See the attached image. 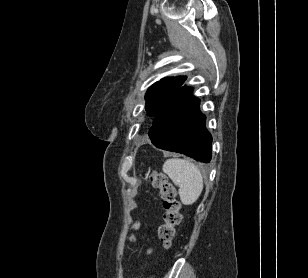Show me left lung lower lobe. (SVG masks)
<instances>
[{
	"label": "left lung lower lobe",
	"instance_id": "1",
	"mask_svg": "<svg viewBox=\"0 0 308 278\" xmlns=\"http://www.w3.org/2000/svg\"><path fill=\"white\" fill-rule=\"evenodd\" d=\"M192 91L191 87L180 88L156 115L149 137L158 148L206 163L211 160L212 136L199 110L200 100Z\"/></svg>",
	"mask_w": 308,
	"mask_h": 278
}]
</instances>
